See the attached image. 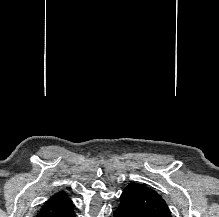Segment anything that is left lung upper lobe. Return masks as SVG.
<instances>
[{"label": "left lung upper lobe", "instance_id": "obj_1", "mask_svg": "<svg viewBox=\"0 0 219 217\" xmlns=\"http://www.w3.org/2000/svg\"><path fill=\"white\" fill-rule=\"evenodd\" d=\"M120 205L132 217H172L165 200L155 190L130 183L120 196Z\"/></svg>", "mask_w": 219, "mask_h": 217}]
</instances>
